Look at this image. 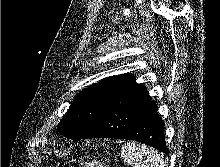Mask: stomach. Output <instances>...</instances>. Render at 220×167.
<instances>
[{"label": "stomach", "instance_id": "1", "mask_svg": "<svg viewBox=\"0 0 220 167\" xmlns=\"http://www.w3.org/2000/svg\"><path fill=\"white\" fill-rule=\"evenodd\" d=\"M84 167H108L106 162L103 160H92L91 162H87Z\"/></svg>", "mask_w": 220, "mask_h": 167}]
</instances>
